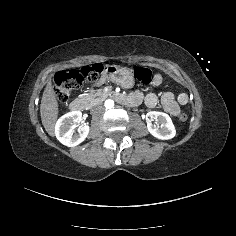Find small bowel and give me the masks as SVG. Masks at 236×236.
Wrapping results in <instances>:
<instances>
[{
	"label": "small bowel",
	"mask_w": 236,
	"mask_h": 236,
	"mask_svg": "<svg viewBox=\"0 0 236 236\" xmlns=\"http://www.w3.org/2000/svg\"><path fill=\"white\" fill-rule=\"evenodd\" d=\"M161 83H162L161 75L156 74L153 77L152 84L154 86H159ZM133 95L138 97L140 99V102L144 99L146 105L149 108H154L159 102L157 95L154 93H148L144 96L142 93L138 92ZM187 101H188V97L184 93L178 95V97H175L172 93H166L162 97V105L164 109L168 113L174 116H177L180 113V106L185 105Z\"/></svg>",
	"instance_id": "small-bowel-1"
}]
</instances>
